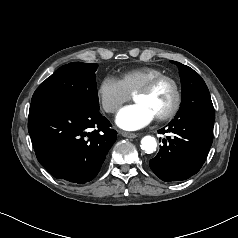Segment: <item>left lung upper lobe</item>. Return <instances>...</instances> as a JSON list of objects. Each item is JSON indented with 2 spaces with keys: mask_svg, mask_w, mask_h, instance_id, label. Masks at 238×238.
<instances>
[{
  "mask_svg": "<svg viewBox=\"0 0 238 238\" xmlns=\"http://www.w3.org/2000/svg\"><path fill=\"white\" fill-rule=\"evenodd\" d=\"M179 68L182 102L175 119L214 120V108L203 79L192 68L172 61Z\"/></svg>",
  "mask_w": 238,
  "mask_h": 238,
  "instance_id": "5c2ea615",
  "label": "left lung upper lobe"
}]
</instances>
